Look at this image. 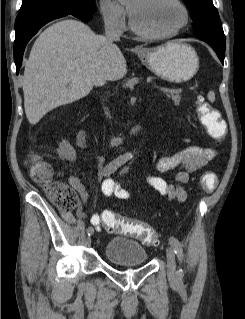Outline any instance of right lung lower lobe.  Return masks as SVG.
<instances>
[{
  "label": "right lung lower lobe",
  "instance_id": "obj_1",
  "mask_svg": "<svg viewBox=\"0 0 245 319\" xmlns=\"http://www.w3.org/2000/svg\"><path fill=\"white\" fill-rule=\"evenodd\" d=\"M93 11H77L72 8L51 7L38 10L25 15H18L15 22L14 61L17 74L22 65L23 53L28 41L37 31L51 20L67 16L69 14L83 20L91 19Z\"/></svg>",
  "mask_w": 245,
  "mask_h": 319
}]
</instances>
